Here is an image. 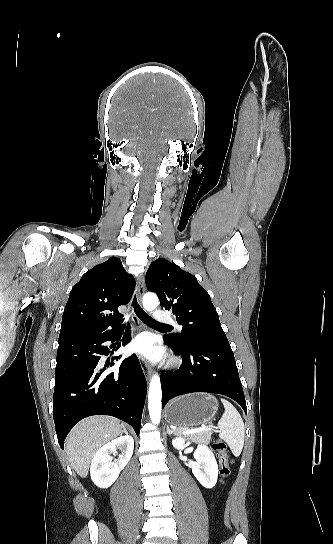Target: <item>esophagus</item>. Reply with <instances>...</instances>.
<instances>
[{"label":"esophagus","instance_id":"esophagus-1","mask_svg":"<svg viewBox=\"0 0 333 544\" xmlns=\"http://www.w3.org/2000/svg\"><path fill=\"white\" fill-rule=\"evenodd\" d=\"M144 291H145V277H144V275H141L139 280H138V283H137V291H136L137 299H138L139 303L142 300V296H143ZM131 319H132V322H133V324H134V326L136 328H141L142 327V323H141L140 319L135 314L132 316ZM139 360H140V364L142 366L143 372L145 374V377H146V379L149 380L151 378V375H152L151 367L149 366V364L146 362V360L144 358L140 357Z\"/></svg>","mask_w":333,"mask_h":544}]
</instances>
